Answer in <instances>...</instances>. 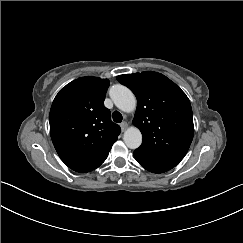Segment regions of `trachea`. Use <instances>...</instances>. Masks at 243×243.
Wrapping results in <instances>:
<instances>
[{"mask_svg": "<svg viewBox=\"0 0 243 243\" xmlns=\"http://www.w3.org/2000/svg\"><path fill=\"white\" fill-rule=\"evenodd\" d=\"M112 118H113V120H114L116 123H120V122H122V120H123V116H122L121 113L118 112V111L113 112V114H112Z\"/></svg>", "mask_w": 243, "mask_h": 243, "instance_id": "obj_1", "label": "trachea"}]
</instances>
